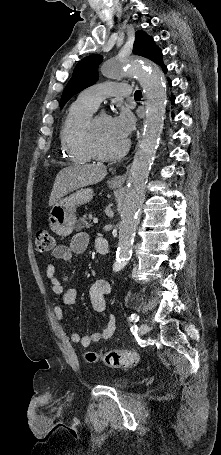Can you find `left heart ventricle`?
Returning <instances> with one entry per match:
<instances>
[{
    "instance_id": "obj_1",
    "label": "left heart ventricle",
    "mask_w": 221,
    "mask_h": 455,
    "mask_svg": "<svg viewBox=\"0 0 221 455\" xmlns=\"http://www.w3.org/2000/svg\"><path fill=\"white\" fill-rule=\"evenodd\" d=\"M96 145L103 153H111L118 150L125 142L113 128L112 119L108 115H100L96 118Z\"/></svg>"
}]
</instances>
